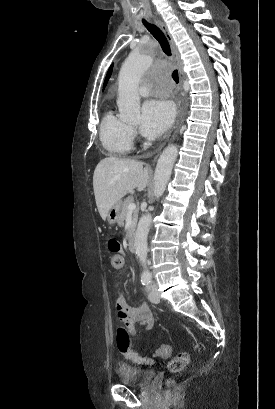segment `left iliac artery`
<instances>
[{"mask_svg":"<svg viewBox=\"0 0 275 409\" xmlns=\"http://www.w3.org/2000/svg\"><path fill=\"white\" fill-rule=\"evenodd\" d=\"M149 283H150V282H149ZM149 287H150V285L148 284V285L146 286V288L149 289Z\"/></svg>","mask_w":275,"mask_h":409,"instance_id":"obj_1","label":"left iliac artery"}]
</instances>
